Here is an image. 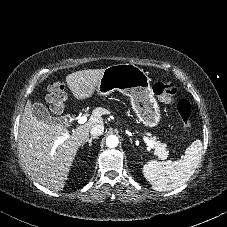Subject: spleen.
<instances>
[{
	"label": "spleen",
	"instance_id": "spleen-1",
	"mask_svg": "<svg viewBox=\"0 0 227 227\" xmlns=\"http://www.w3.org/2000/svg\"><path fill=\"white\" fill-rule=\"evenodd\" d=\"M203 151L202 142L195 140L178 161L151 160L143 166V174L152 189L171 191L186 183L198 167Z\"/></svg>",
	"mask_w": 227,
	"mask_h": 227
}]
</instances>
